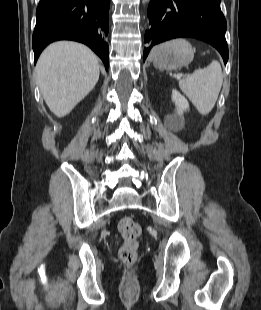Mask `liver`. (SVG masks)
<instances>
[{
  "label": "liver",
  "mask_w": 261,
  "mask_h": 310,
  "mask_svg": "<svg viewBox=\"0 0 261 310\" xmlns=\"http://www.w3.org/2000/svg\"><path fill=\"white\" fill-rule=\"evenodd\" d=\"M35 72L47 106L61 118L94 88L99 79V62L87 46L59 41L43 51Z\"/></svg>",
  "instance_id": "6515ba94"
}]
</instances>
